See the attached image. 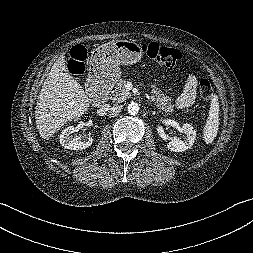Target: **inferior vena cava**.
I'll list each match as a JSON object with an SVG mask.
<instances>
[{
    "mask_svg": "<svg viewBox=\"0 0 253 253\" xmlns=\"http://www.w3.org/2000/svg\"><path fill=\"white\" fill-rule=\"evenodd\" d=\"M122 105L114 104L112 107L107 106V104L103 105L100 109L102 111L108 112L109 116H116L122 111Z\"/></svg>",
    "mask_w": 253,
    "mask_h": 253,
    "instance_id": "inferior-vena-cava-1",
    "label": "inferior vena cava"
}]
</instances>
